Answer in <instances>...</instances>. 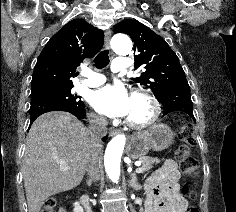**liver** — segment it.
Listing matches in <instances>:
<instances>
[{"mask_svg": "<svg viewBox=\"0 0 236 212\" xmlns=\"http://www.w3.org/2000/svg\"><path fill=\"white\" fill-rule=\"evenodd\" d=\"M91 152L90 130L74 115L55 111L38 117L27 135L23 158L29 212H39L48 197L77 187ZM62 165L70 169L62 171Z\"/></svg>", "mask_w": 236, "mask_h": 212, "instance_id": "6515ba94", "label": "liver"}]
</instances>
